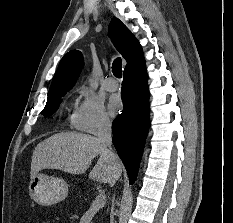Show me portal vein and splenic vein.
<instances>
[{
  "label": "portal vein and splenic vein",
  "mask_w": 233,
  "mask_h": 223,
  "mask_svg": "<svg viewBox=\"0 0 233 223\" xmlns=\"http://www.w3.org/2000/svg\"><path fill=\"white\" fill-rule=\"evenodd\" d=\"M106 203V195L105 193H99V195H96L93 205H99V207H102Z\"/></svg>",
  "instance_id": "18ae733b"
}]
</instances>
